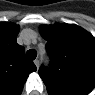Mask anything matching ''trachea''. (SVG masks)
<instances>
[{
    "label": "trachea",
    "mask_w": 95,
    "mask_h": 95,
    "mask_svg": "<svg viewBox=\"0 0 95 95\" xmlns=\"http://www.w3.org/2000/svg\"><path fill=\"white\" fill-rule=\"evenodd\" d=\"M26 56L30 59V60H34L37 57V52L33 49H30L26 52Z\"/></svg>",
    "instance_id": "1"
}]
</instances>
